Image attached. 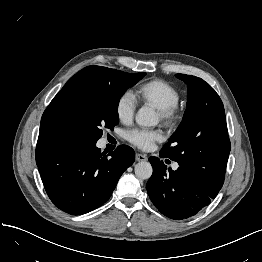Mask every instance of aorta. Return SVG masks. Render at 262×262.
<instances>
[{
  "instance_id": "762f6f07",
  "label": "aorta",
  "mask_w": 262,
  "mask_h": 262,
  "mask_svg": "<svg viewBox=\"0 0 262 262\" xmlns=\"http://www.w3.org/2000/svg\"><path fill=\"white\" fill-rule=\"evenodd\" d=\"M135 121L140 126L150 127L158 123V117L153 109L142 107L136 113ZM134 170L135 175L143 180L149 179L153 172L151 164L147 161L138 162Z\"/></svg>"
}]
</instances>
